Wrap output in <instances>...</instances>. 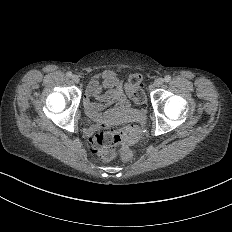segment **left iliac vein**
Returning a JSON list of instances; mask_svg holds the SVG:
<instances>
[{
	"label": "left iliac vein",
	"mask_w": 232,
	"mask_h": 232,
	"mask_svg": "<svg viewBox=\"0 0 232 232\" xmlns=\"http://www.w3.org/2000/svg\"><path fill=\"white\" fill-rule=\"evenodd\" d=\"M162 83H163V80L161 78H158V79L155 80V85L157 87H160L162 85Z\"/></svg>",
	"instance_id": "obj_1"
}]
</instances>
